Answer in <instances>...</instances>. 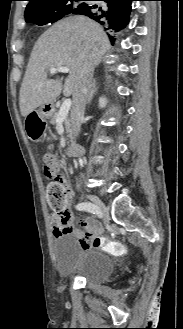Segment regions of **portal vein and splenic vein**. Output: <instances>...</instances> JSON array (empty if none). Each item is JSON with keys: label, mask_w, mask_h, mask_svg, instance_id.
Returning <instances> with one entry per match:
<instances>
[{"label": "portal vein and splenic vein", "mask_w": 183, "mask_h": 329, "mask_svg": "<svg viewBox=\"0 0 183 329\" xmlns=\"http://www.w3.org/2000/svg\"><path fill=\"white\" fill-rule=\"evenodd\" d=\"M70 71V68L69 67H65V66H61V67H53L50 69V73L51 74H54L56 72H69ZM71 104H72V101L71 99H66L61 107H60V110H59V113H58V116L56 118V123H60V122H63V120L66 118V116L68 115V112L70 110V107H71Z\"/></svg>", "instance_id": "1"}]
</instances>
